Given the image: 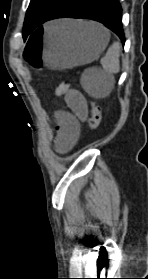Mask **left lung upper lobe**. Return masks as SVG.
I'll list each match as a JSON object with an SVG mask.
<instances>
[{"label":"left lung upper lobe","mask_w":148,"mask_h":279,"mask_svg":"<svg viewBox=\"0 0 148 279\" xmlns=\"http://www.w3.org/2000/svg\"><path fill=\"white\" fill-rule=\"evenodd\" d=\"M66 0H31L26 12L23 38L35 31Z\"/></svg>","instance_id":"1"}]
</instances>
